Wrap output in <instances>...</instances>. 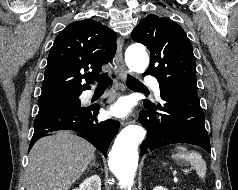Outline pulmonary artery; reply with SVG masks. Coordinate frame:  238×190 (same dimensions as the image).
<instances>
[{
  "label": "pulmonary artery",
  "instance_id": "1",
  "mask_svg": "<svg viewBox=\"0 0 238 190\" xmlns=\"http://www.w3.org/2000/svg\"><path fill=\"white\" fill-rule=\"evenodd\" d=\"M145 82H146V84H148L149 86H151V87L153 88V90H154V92H155V94H156L157 96L160 95V87H159V84H158V82H157L154 78L148 77ZM92 93H93L92 91H87V92H86V96L89 97V96L92 95Z\"/></svg>",
  "mask_w": 238,
  "mask_h": 190
}]
</instances>
